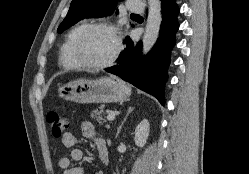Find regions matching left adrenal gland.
Here are the masks:
<instances>
[{
  "instance_id": "1",
  "label": "left adrenal gland",
  "mask_w": 249,
  "mask_h": 174,
  "mask_svg": "<svg viewBox=\"0 0 249 174\" xmlns=\"http://www.w3.org/2000/svg\"><path fill=\"white\" fill-rule=\"evenodd\" d=\"M133 110H134L133 107H129V108H128L127 114H126L124 120L122 121L121 125H120V126L118 127V129H117L116 137L119 135V133H120V131H121V129H122V127H123V125H124V123H125L127 117H128V115H129Z\"/></svg>"
}]
</instances>
